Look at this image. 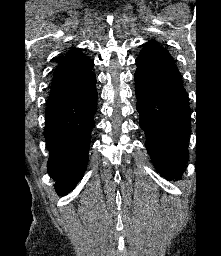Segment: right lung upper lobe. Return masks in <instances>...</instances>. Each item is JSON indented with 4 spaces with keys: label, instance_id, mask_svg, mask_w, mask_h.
I'll return each instance as SVG.
<instances>
[{
    "label": "right lung upper lobe",
    "instance_id": "1",
    "mask_svg": "<svg viewBox=\"0 0 221 256\" xmlns=\"http://www.w3.org/2000/svg\"><path fill=\"white\" fill-rule=\"evenodd\" d=\"M93 65L78 48L70 50L55 70L47 105L63 103L95 89Z\"/></svg>",
    "mask_w": 221,
    "mask_h": 256
}]
</instances>
